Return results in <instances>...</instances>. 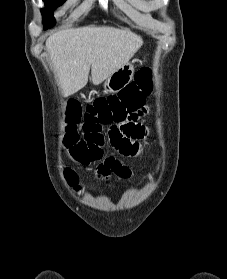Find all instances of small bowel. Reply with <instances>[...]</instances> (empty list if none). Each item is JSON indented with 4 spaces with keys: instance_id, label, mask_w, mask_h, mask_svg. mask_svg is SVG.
Masks as SVG:
<instances>
[{
    "instance_id": "c3829d8e",
    "label": "small bowel",
    "mask_w": 227,
    "mask_h": 279,
    "mask_svg": "<svg viewBox=\"0 0 227 279\" xmlns=\"http://www.w3.org/2000/svg\"><path fill=\"white\" fill-rule=\"evenodd\" d=\"M143 100V96H141ZM144 136V133L141 137ZM139 137V138H141ZM112 145L119 150L123 156H129L128 151L132 146V141L123 135L122 129L119 128L116 138H111ZM132 175V171L123 165L115 158L108 156L104 158L95 169V176L97 179L108 181L112 176H117L127 179Z\"/></svg>"
}]
</instances>
